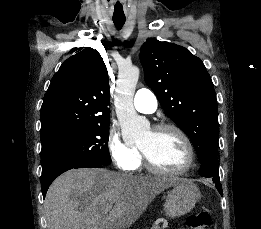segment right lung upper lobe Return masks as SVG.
Masks as SVG:
<instances>
[{"label": "right lung upper lobe", "mask_w": 261, "mask_h": 229, "mask_svg": "<svg viewBox=\"0 0 261 229\" xmlns=\"http://www.w3.org/2000/svg\"><path fill=\"white\" fill-rule=\"evenodd\" d=\"M109 79L97 50L85 48L63 62L53 76L41 107L42 149L109 122Z\"/></svg>", "instance_id": "obj_1"}]
</instances>
